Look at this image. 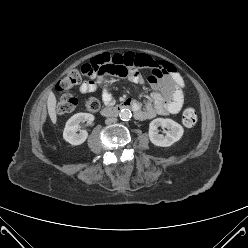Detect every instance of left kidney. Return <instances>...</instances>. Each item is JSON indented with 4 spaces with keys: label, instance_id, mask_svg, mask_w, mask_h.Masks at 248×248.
<instances>
[{
    "label": "left kidney",
    "instance_id": "5707ae66",
    "mask_svg": "<svg viewBox=\"0 0 248 248\" xmlns=\"http://www.w3.org/2000/svg\"><path fill=\"white\" fill-rule=\"evenodd\" d=\"M159 126L168 129L165 136L158 133ZM183 133V127L172 119L156 118L149 124V139L156 146L169 147L180 140Z\"/></svg>",
    "mask_w": 248,
    "mask_h": 248
}]
</instances>
